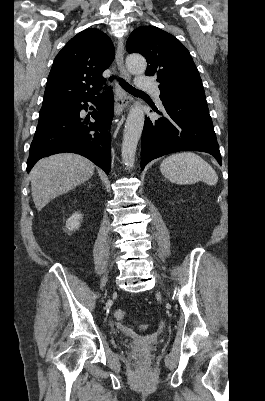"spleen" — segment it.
I'll use <instances>...</instances> for the list:
<instances>
[{
    "instance_id": "3e777b00",
    "label": "spleen",
    "mask_w": 265,
    "mask_h": 401,
    "mask_svg": "<svg viewBox=\"0 0 265 401\" xmlns=\"http://www.w3.org/2000/svg\"><path fill=\"white\" fill-rule=\"evenodd\" d=\"M160 170L165 178L175 184H194L203 180L206 184H216L218 174L214 168L195 152H176L164 158Z\"/></svg>"
}]
</instances>
